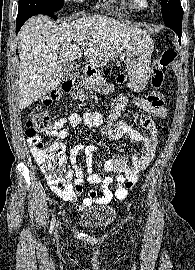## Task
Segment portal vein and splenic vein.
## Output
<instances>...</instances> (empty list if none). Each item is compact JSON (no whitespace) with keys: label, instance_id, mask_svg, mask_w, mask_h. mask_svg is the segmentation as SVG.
Segmentation results:
<instances>
[{"label":"portal vein and splenic vein","instance_id":"1","mask_svg":"<svg viewBox=\"0 0 195 270\" xmlns=\"http://www.w3.org/2000/svg\"><path fill=\"white\" fill-rule=\"evenodd\" d=\"M77 42H78V44H82L83 43V39H79Z\"/></svg>","mask_w":195,"mask_h":270}]
</instances>
